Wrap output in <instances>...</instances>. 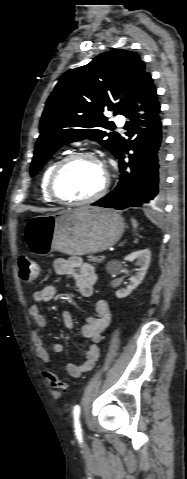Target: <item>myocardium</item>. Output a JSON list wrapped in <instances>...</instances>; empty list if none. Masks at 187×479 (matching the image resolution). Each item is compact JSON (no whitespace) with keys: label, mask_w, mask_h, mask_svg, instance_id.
<instances>
[{"label":"myocardium","mask_w":187,"mask_h":479,"mask_svg":"<svg viewBox=\"0 0 187 479\" xmlns=\"http://www.w3.org/2000/svg\"><path fill=\"white\" fill-rule=\"evenodd\" d=\"M78 159H92L96 162H98L102 167V163L100 159L92 152L88 151H77L74 153H71L65 157H63L58 163L55 165L53 168L48 184H47V190L49 196L56 202L66 204V205H85V204H90L93 202H96L97 200L101 199L108 191L109 186H110V177L108 172L104 169L105 171V179L100 187V189L93 195L83 198V199H72V198H66L63 197L59 194L57 190V180L61 172L64 170V168L69 165L71 162L78 160Z\"/></svg>","instance_id":"myocardium-1"}]
</instances>
